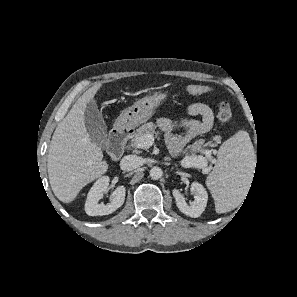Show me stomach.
I'll list each match as a JSON object with an SVG mask.
<instances>
[{
    "label": "stomach",
    "instance_id": "0dacf381",
    "mask_svg": "<svg viewBox=\"0 0 297 297\" xmlns=\"http://www.w3.org/2000/svg\"><path fill=\"white\" fill-rule=\"evenodd\" d=\"M166 98L167 92L164 91L150 93L125 109L116 120L115 126L121 129L138 126L151 118Z\"/></svg>",
    "mask_w": 297,
    "mask_h": 297
}]
</instances>
